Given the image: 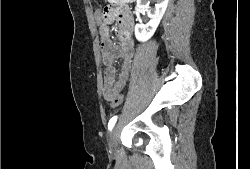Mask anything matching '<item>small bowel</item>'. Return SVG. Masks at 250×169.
Segmentation results:
<instances>
[{"instance_id": "c3829d8e", "label": "small bowel", "mask_w": 250, "mask_h": 169, "mask_svg": "<svg viewBox=\"0 0 250 169\" xmlns=\"http://www.w3.org/2000/svg\"><path fill=\"white\" fill-rule=\"evenodd\" d=\"M114 14H117L120 19L124 20L125 14L122 10L117 9L114 11ZM109 16L110 13H107V17ZM106 21L109 20L106 19ZM121 25L124 29V40L121 47L110 43L106 22L103 21L100 26L102 62L104 65L103 96L105 99L107 91L124 90L134 58V47L130 39V27L126 21H121ZM117 58L122 59L121 69L118 73L114 65Z\"/></svg>"}]
</instances>
